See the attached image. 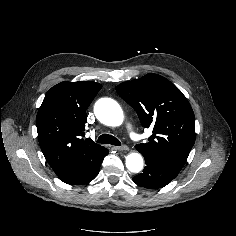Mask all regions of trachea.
<instances>
[{
  "mask_svg": "<svg viewBox=\"0 0 236 236\" xmlns=\"http://www.w3.org/2000/svg\"><path fill=\"white\" fill-rule=\"evenodd\" d=\"M97 142L102 143V144H111L115 146H121L120 141L116 137L109 134H102L101 136H99Z\"/></svg>",
  "mask_w": 236,
  "mask_h": 236,
  "instance_id": "trachea-1",
  "label": "trachea"
}]
</instances>
